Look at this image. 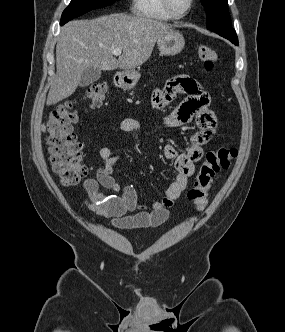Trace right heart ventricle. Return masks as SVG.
<instances>
[{"label": "right heart ventricle", "mask_w": 285, "mask_h": 332, "mask_svg": "<svg viewBox=\"0 0 285 332\" xmlns=\"http://www.w3.org/2000/svg\"><path fill=\"white\" fill-rule=\"evenodd\" d=\"M132 11L136 16L156 21H172V16L165 8L163 0H133Z\"/></svg>", "instance_id": "1"}]
</instances>
